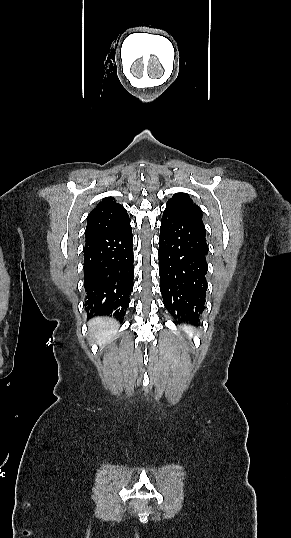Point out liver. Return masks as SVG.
I'll return each mask as SVG.
<instances>
[{"label": "liver", "instance_id": "obj_1", "mask_svg": "<svg viewBox=\"0 0 291 538\" xmlns=\"http://www.w3.org/2000/svg\"><path fill=\"white\" fill-rule=\"evenodd\" d=\"M88 326L94 332V337L100 346H105L113 338L118 323L113 318L98 317L92 319Z\"/></svg>", "mask_w": 291, "mask_h": 538}]
</instances>
